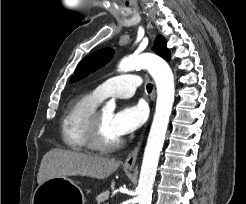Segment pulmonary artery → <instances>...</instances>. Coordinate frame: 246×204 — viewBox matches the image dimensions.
I'll list each match as a JSON object with an SVG mask.
<instances>
[{
  "label": "pulmonary artery",
  "mask_w": 246,
  "mask_h": 204,
  "mask_svg": "<svg viewBox=\"0 0 246 204\" xmlns=\"http://www.w3.org/2000/svg\"><path fill=\"white\" fill-rule=\"evenodd\" d=\"M141 85V77L137 74H122L101 83L93 94L100 100L107 97L130 98Z\"/></svg>",
  "instance_id": "e3ab8cb5"
}]
</instances>
